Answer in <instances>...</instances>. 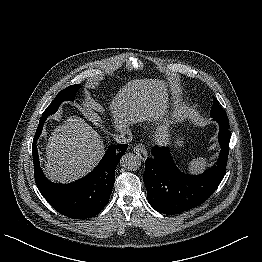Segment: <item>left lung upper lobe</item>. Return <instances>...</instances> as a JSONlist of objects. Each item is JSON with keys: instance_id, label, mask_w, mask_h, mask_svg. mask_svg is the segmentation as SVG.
I'll use <instances>...</instances> for the list:
<instances>
[{"instance_id": "obj_1", "label": "left lung upper lobe", "mask_w": 262, "mask_h": 262, "mask_svg": "<svg viewBox=\"0 0 262 262\" xmlns=\"http://www.w3.org/2000/svg\"><path fill=\"white\" fill-rule=\"evenodd\" d=\"M210 116L215 121H219V120L227 118V115L225 114L224 110L221 108L218 100L215 97H213V106H212V109H211V112H210Z\"/></svg>"}]
</instances>
